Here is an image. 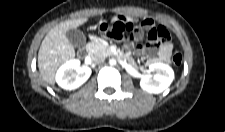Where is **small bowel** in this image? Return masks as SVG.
<instances>
[{"instance_id": "small-bowel-1", "label": "small bowel", "mask_w": 225, "mask_h": 132, "mask_svg": "<svg viewBox=\"0 0 225 132\" xmlns=\"http://www.w3.org/2000/svg\"><path fill=\"white\" fill-rule=\"evenodd\" d=\"M114 24L120 25L123 29L135 31L136 39L141 37L140 29L144 28L149 31L156 29L154 26V22L150 19L135 22L131 18L120 17V19ZM133 48L134 44L132 42H128L126 44L127 51L130 52ZM172 49V43L168 40H161L159 43L156 40H150L149 44L146 46H136L137 53L147 57L150 64L157 62H172ZM130 61L131 63H134L132 60Z\"/></svg>"}]
</instances>
